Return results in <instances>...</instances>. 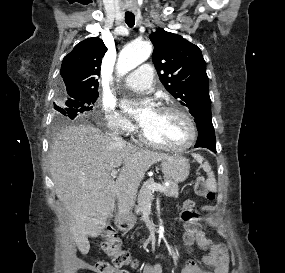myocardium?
Returning <instances> with one entry per match:
<instances>
[{"label":"myocardium","instance_id":"myocardium-1","mask_svg":"<svg viewBox=\"0 0 285 273\" xmlns=\"http://www.w3.org/2000/svg\"><path fill=\"white\" fill-rule=\"evenodd\" d=\"M158 111H172V112H176L177 114H179L185 120V122L187 123V126H188V137H187V139L179 145L163 144V143H159V142H156V141H153L152 139H150L146 135L145 131L142 128L139 132L140 140L144 144L151 146L153 148L166 150V151H172V152H183V151L189 149L190 147H192L194 145V143L196 142L197 137H198V128H197V124H196L194 118L188 112V110H186L184 107H182L178 104H166V105L160 106L158 108Z\"/></svg>","mask_w":285,"mask_h":273}]
</instances>
